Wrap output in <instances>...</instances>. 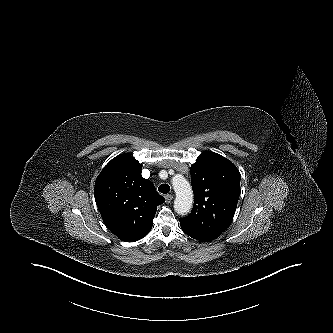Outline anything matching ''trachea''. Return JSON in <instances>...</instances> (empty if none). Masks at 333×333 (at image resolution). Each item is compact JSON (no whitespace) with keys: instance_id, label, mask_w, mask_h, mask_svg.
Listing matches in <instances>:
<instances>
[{"instance_id":"trachea-1","label":"trachea","mask_w":333,"mask_h":333,"mask_svg":"<svg viewBox=\"0 0 333 333\" xmlns=\"http://www.w3.org/2000/svg\"><path fill=\"white\" fill-rule=\"evenodd\" d=\"M158 190L160 193L167 194L170 191V186L168 184H161Z\"/></svg>"}]
</instances>
